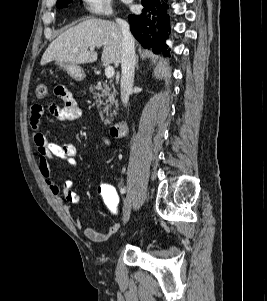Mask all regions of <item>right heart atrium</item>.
Listing matches in <instances>:
<instances>
[{"label":"right heart atrium","instance_id":"right-heart-atrium-1","mask_svg":"<svg viewBox=\"0 0 267 301\" xmlns=\"http://www.w3.org/2000/svg\"><path fill=\"white\" fill-rule=\"evenodd\" d=\"M85 9L95 15H112V0H83Z\"/></svg>","mask_w":267,"mask_h":301}]
</instances>
